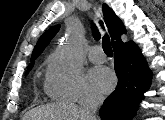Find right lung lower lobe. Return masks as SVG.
<instances>
[{"mask_svg":"<svg viewBox=\"0 0 165 120\" xmlns=\"http://www.w3.org/2000/svg\"><path fill=\"white\" fill-rule=\"evenodd\" d=\"M113 49L118 84L104 101L100 116L102 120H130L151 84L152 74L134 42H121Z\"/></svg>","mask_w":165,"mask_h":120,"instance_id":"right-lung-lower-lobe-1","label":"right lung lower lobe"}]
</instances>
